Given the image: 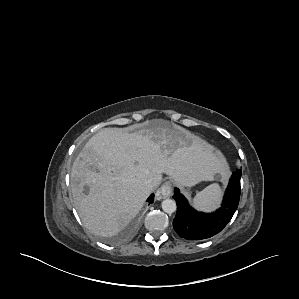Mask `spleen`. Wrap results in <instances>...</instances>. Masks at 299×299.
<instances>
[{
    "mask_svg": "<svg viewBox=\"0 0 299 299\" xmlns=\"http://www.w3.org/2000/svg\"><path fill=\"white\" fill-rule=\"evenodd\" d=\"M221 197V189L218 184L207 186L199 192L193 199V204L198 209L211 210L217 206Z\"/></svg>",
    "mask_w": 299,
    "mask_h": 299,
    "instance_id": "1",
    "label": "spleen"
}]
</instances>
